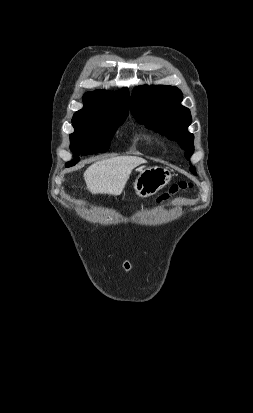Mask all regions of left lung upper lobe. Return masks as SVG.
Returning a JSON list of instances; mask_svg holds the SVG:
<instances>
[{"mask_svg": "<svg viewBox=\"0 0 253 413\" xmlns=\"http://www.w3.org/2000/svg\"><path fill=\"white\" fill-rule=\"evenodd\" d=\"M182 99L177 87L144 85L132 93L130 107L139 123L176 141L189 159L194 151V136L187 130L192 119L189 109L181 105ZM190 171L196 174L194 167Z\"/></svg>", "mask_w": 253, "mask_h": 413, "instance_id": "obj_1", "label": "left lung upper lobe"}]
</instances>
